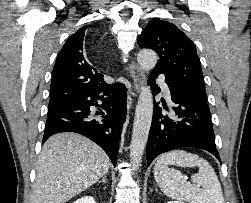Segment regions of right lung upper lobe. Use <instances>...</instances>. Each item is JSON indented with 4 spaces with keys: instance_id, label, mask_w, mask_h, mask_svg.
<instances>
[{
    "instance_id": "cb5924a9",
    "label": "right lung upper lobe",
    "mask_w": 251,
    "mask_h": 203,
    "mask_svg": "<svg viewBox=\"0 0 251 203\" xmlns=\"http://www.w3.org/2000/svg\"><path fill=\"white\" fill-rule=\"evenodd\" d=\"M88 26L71 35L59 52L53 69L49 107L66 102L85 89L105 84L103 75L91 66L83 51Z\"/></svg>"
}]
</instances>
